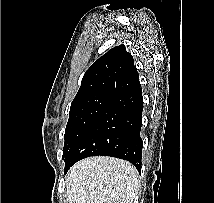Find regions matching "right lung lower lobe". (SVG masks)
Listing matches in <instances>:
<instances>
[{
  "label": "right lung lower lobe",
  "instance_id": "obj_1",
  "mask_svg": "<svg viewBox=\"0 0 214 203\" xmlns=\"http://www.w3.org/2000/svg\"><path fill=\"white\" fill-rule=\"evenodd\" d=\"M143 99L140 85L116 96L78 141L65 161V173L90 156H112L131 162L141 172Z\"/></svg>",
  "mask_w": 214,
  "mask_h": 203
}]
</instances>
